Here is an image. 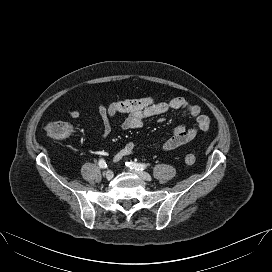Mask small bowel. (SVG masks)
<instances>
[{"label": "small bowel", "mask_w": 272, "mask_h": 272, "mask_svg": "<svg viewBox=\"0 0 272 272\" xmlns=\"http://www.w3.org/2000/svg\"><path fill=\"white\" fill-rule=\"evenodd\" d=\"M96 108L103 123L102 137L107 138L112 132V119L118 114H125L126 117L121 123L125 130L138 129L143 126L145 119L153 116H161L171 110H180L190 115L195 120V126L186 128L178 126L174 129L172 135L163 141L160 145L164 151L174 150L182 145L193 141L199 133L205 132L210 126V119L201 112V108L184 98L176 97L167 101H156L152 97H142L113 101L108 105L98 103ZM73 119H79L81 112L73 109L69 112ZM160 118L159 121H163ZM135 143L127 142L123 148L115 154L114 161H119L126 156L133 155L135 152Z\"/></svg>", "instance_id": "obj_1"}]
</instances>
